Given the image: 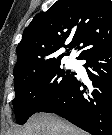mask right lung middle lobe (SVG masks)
<instances>
[{
  "label": "right lung middle lobe",
  "instance_id": "1",
  "mask_svg": "<svg viewBox=\"0 0 112 135\" xmlns=\"http://www.w3.org/2000/svg\"><path fill=\"white\" fill-rule=\"evenodd\" d=\"M74 77V72L60 68V61L49 63L34 73L15 77L16 97L12 103L17 123L24 124L32 114L57 97Z\"/></svg>",
  "mask_w": 112,
  "mask_h": 135
}]
</instances>
